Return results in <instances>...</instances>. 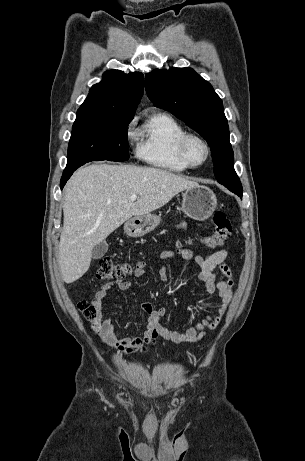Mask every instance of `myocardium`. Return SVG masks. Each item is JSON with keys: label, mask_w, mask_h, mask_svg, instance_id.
<instances>
[{"label": "myocardium", "mask_w": 305, "mask_h": 461, "mask_svg": "<svg viewBox=\"0 0 305 461\" xmlns=\"http://www.w3.org/2000/svg\"><path fill=\"white\" fill-rule=\"evenodd\" d=\"M191 140H197L205 148L206 156H205L204 160L202 162H200V163L192 162L189 155H188L187 148H188V144H189V142ZM178 153H179L180 158L183 160V162L188 167L197 168V167L203 166L209 160L210 155H211V149H210V146H209L208 142L202 136H200L198 134H195V133H185L181 137V139H180V141L178 143Z\"/></svg>", "instance_id": "myocardium-1"}]
</instances>
